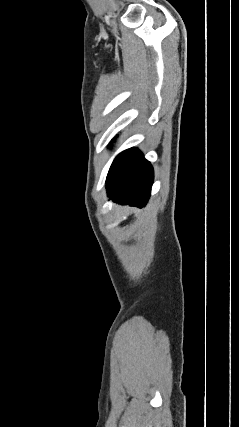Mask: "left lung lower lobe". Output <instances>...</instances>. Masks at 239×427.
I'll list each match as a JSON object with an SVG mask.
<instances>
[{"instance_id":"0a47b994","label":"left lung lower lobe","mask_w":239,"mask_h":427,"mask_svg":"<svg viewBox=\"0 0 239 427\" xmlns=\"http://www.w3.org/2000/svg\"><path fill=\"white\" fill-rule=\"evenodd\" d=\"M153 183V168L137 148L121 152L107 175L109 199L120 204L143 207Z\"/></svg>"}]
</instances>
